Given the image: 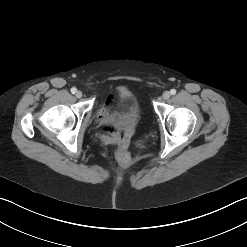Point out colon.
<instances>
[{
	"instance_id": "colon-1",
	"label": "colon",
	"mask_w": 247,
	"mask_h": 247,
	"mask_svg": "<svg viewBox=\"0 0 247 247\" xmlns=\"http://www.w3.org/2000/svg\"><path fill=\"white\" fill-rule=\"evenodd\" d=\"M116 159L117 162L122 165L125 166L129 163L130 161V155L128 152L124 151V150H118L116 152Z\"/></svg>"
}]
</instances>
